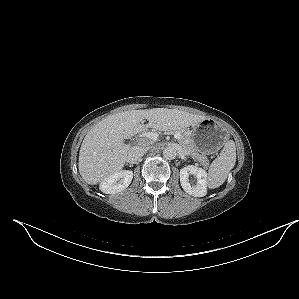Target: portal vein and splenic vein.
Returning <instances> with one entry per match:
<instances>
[{
	"label": "portal vein and splenic vein",
	"mask_w": 299,
	"mask_h": 299,
	"mask_svg": "<svg viewBox=\"0 0 299 299\" xmlns=\"http://www.w3.org/2000/svg\"><path fill=\"white\" fill-rule=\"evenodd\" d=\"M142 136L147 137L153 141H156L159 137V134L157 132H146V133H143ZM173 136L175 139H180L179 133H174Z\"/></svg>",
	"instance_id": "obj_1"
}]
</instances>
